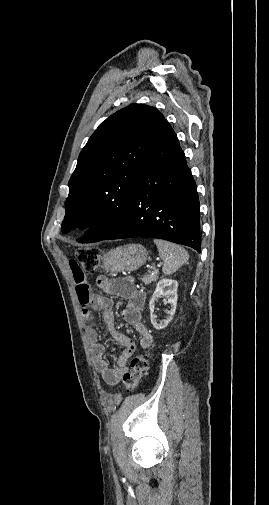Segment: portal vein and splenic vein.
I'll return each instance as SVG.
<instances>
[{
  "label": "portal vein and splenic vein",
  "instance_id": "portal-vein-and-splenic-vein-1",
  "mask_svg": "<svg viewBox=\"0 0 269 505\" xmlns=\"http://www.w3.org/2000/svg\"><path fill=\"white\" fill-rule=\"evenodd\" d=\"M157 267H161V264H158V265H157ZM153 269L155 270V269H156V267H155V266H153Z\"/></svg>",
  "mask_w": 269,
  "mask_h": 505
}]
</instances>
